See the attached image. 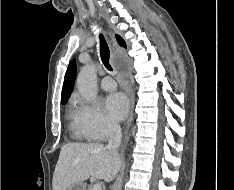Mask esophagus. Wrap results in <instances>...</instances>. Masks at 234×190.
Wrapping results in <instances>:
<instances>
[{"label": "esophagus", "instance_id": "esophagus-1", "mask_svg": "<svg viewBox=\"0 0 234 190\" xmlns=\"http://www.w3.org/2000/svg\"><path fill=\"white\" fill-rule=\"evenodd\" d=\"M134 115V99H131V108H130V114H129V119H128V128L131 125L132 119Z\"/></svg>", "mask_w": 234, "mask_h": 190}]
</instances>
